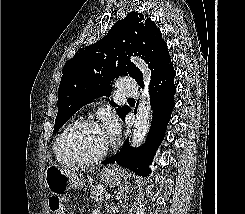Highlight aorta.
Instances as JSON below:
<instances>
[{
	"mask_svg": "<svg viewBox=\"0 0 245 214\" xmlns=\"http://www.w3.org/2000/svg\"><path fill=\"white\" fill-rule=\"evenodd\" d=\"M131 61L141 70L144 81V89L142 90L137 108L136 119L131 138V145L133 147H138L144 141L150 126L151 108L148 87L151 81V72L142 59L132 57Z\"/></svg>",
	"mask_w": 245,
	"mask_h": 214,
	"instance_id": "1",
	"label": "aorta"
}]
</instances>
